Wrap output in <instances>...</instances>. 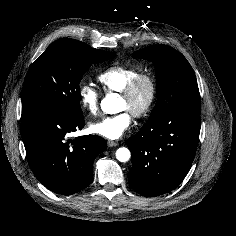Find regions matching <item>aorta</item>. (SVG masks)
Masks as SVG:
<instances>
[{
  "label": "aorta",
  "instance_id": "obj_1",
  "mask_svg": "<svg viewBox=\"0 0 236 236\" xmlns=\"http://www.w3.org/2000/svg\"><path fill=\"white\" fill-rule=\"evenodd\" d=\"M121 98L118 94H108L101 102V108L108 114H115L120 112ZM130 151L128 148L121 147L116 151V158L120 162H126L130 159Z\"/></svg>",
  "mask_w": 236,
  "mask_h": 236
}]
</instances>
